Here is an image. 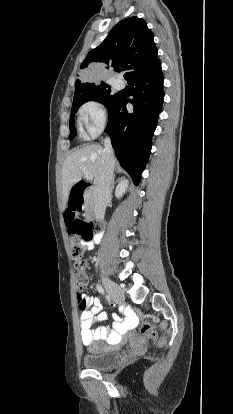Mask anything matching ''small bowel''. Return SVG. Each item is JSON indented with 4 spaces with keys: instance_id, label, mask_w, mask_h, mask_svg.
<instances>
[{
    "instance_id": "obj_1",
    "label": "small bowel",
    "mask_w": 233,
    "mask_h": 414,
    "mask_svg": "<svg viewBox=\"0 0 233 414\" xmlns=\"http://www.w3.org/2000/svg\"><path fill=\"white\" fill-rule=\"evenodd\" d=\"M100 239L101 235H98L94 241H82V244L86 249L92 250L95 242ZM112 307H117V302H112ZM122 307H127V302H122ZM78 310L81 312L80 334L84 345H90L93 341L99 339H105L111 344H118L126 331L134 329L138 324V316L132 309L128 308L125 311L126 319L124 322L119 317L114 316L112 328L102 325L94 329V323L99 320H106L107 315L103 312V306L99 299L89 295H85V299L80 300Z\"/></svg>"
}]
</instances>
